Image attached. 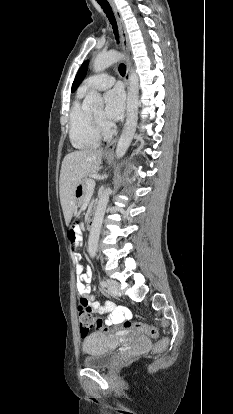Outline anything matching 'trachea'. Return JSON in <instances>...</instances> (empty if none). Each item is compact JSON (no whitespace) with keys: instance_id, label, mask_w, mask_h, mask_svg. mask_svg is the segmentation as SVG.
Wrapping results in <instances>:
<instances>
[{"instance_id":"3493384b","label":"trachea","mask_w":233,"mask_h":414,"mask_svg":"<svg viewBox=\"0 0 233 414\" xmlns=\"http://www.w3.org/2000/svg\"><path fill=\"white\" fill-rule=\"evenodd\" d=\"M97 2L101 6L103 11L105 12L107 18L109 19V21L112 25V28H113L115 39L117 40V43H119V34H118L117 23H116L115 16L113 14L111 6L109 5L107 0H97ZM119 73H120L121 76H124L125 73H126V66L123 63H121L119 65Z\"/></svg>"}]
</instances>
